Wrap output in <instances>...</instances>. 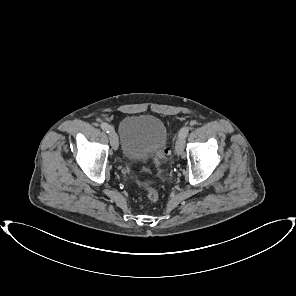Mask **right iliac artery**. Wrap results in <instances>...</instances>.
<instances>
[{
    "mask_svg": "<svg viewBox=\"0 0 296 296\" xmlns=\"http://www.w3.org/2000/svg\"><path fill=\"white\" fill-rule=\"evenodd\" d=\"M101 128H102V130H104L107 133H109L110 130L112 129V127L109 124H107V123H102L101 124Z\"/></svg>",
    "mask_w": 296,
    "mask_h": 296,
    "instance_id": "obj_1",
    "label": "right iliac artery"
}]
</instances>
